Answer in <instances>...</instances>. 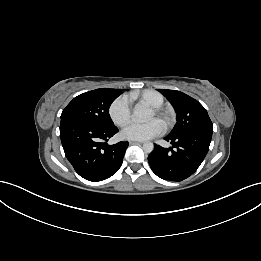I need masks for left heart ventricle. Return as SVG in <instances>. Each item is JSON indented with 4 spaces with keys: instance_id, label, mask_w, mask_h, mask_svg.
<instances>
[{
    "instance_id": "left-heart-ventricle-1",
    "label": "left heart ventricle",
    "mask_w": 261,
    "mask_h": 261,
    "mask_svg": "<svg viewBox=\"0 0 261 261\" xmlns=\"http://www.w3.org/2000/svg\"><path fill=\"white\" fill-rule=\"evenodd\" d=\"M155 116H156V115L154 114V112L151 111L150 114H149V118H154Z\"/></svg>"
}]
</instances>
